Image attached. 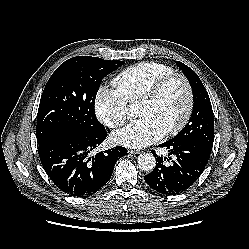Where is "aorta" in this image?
<instances>
[{
    "label": "aorta",
    "mask_w": 249,
    "mask_h": 249,
    "mask_svg": "<svg viewBox=\"0 0 249 249\" xmlns=\"http://www.w3.org/2000/svg\"><path fill=\"white\" fill-rule=\"evenodd\" d=\"M139 169L144 172H151L156 166V160L151 153H142L137 158Z\"/></svg>",
    "instance_id": "1"
}]
</instances>
